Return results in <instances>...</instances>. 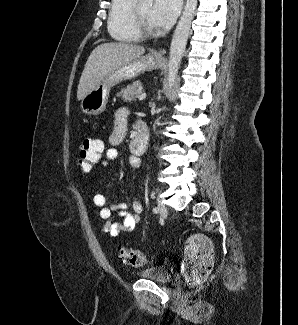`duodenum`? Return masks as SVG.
<instances>
[{"label": "duodenum", "instance_id": "duodenum-1", "mask_svg": "<svg viewBox=\"0 0 298 325\" xmlns=\"http://www.w3.org/2000/svg\"><path fill=\"white\" fill-rule=\"evenodd\" d=\"M149 142V129L142 120L136 122L132 141L130 143L131 152L135 155H142Z\"/></svg>", "mask_w": 298, "mask_h": 325}]
</instances>
